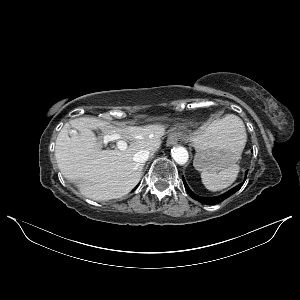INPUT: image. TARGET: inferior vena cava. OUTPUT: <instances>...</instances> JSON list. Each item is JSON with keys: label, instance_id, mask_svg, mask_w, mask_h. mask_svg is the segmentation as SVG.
I'll use <instances>...</instances> for the list:
<instances>
[{"label": "inferior vena cava", "instance_id": "602c4592", "mask_svg": "<svg viewBox=\"0 0 300 300\" xmlns=\"http://www.w3.org/2000/svg\"><path fill=\"white\" fill-rule=\"evenodd\" d=\"M149 154H150L149 150L146 149L139 150L137 153H135L133 160L136 163L142 164L148 160Z\"/></svg>", "mask_w": 300, "mask_h": 300}]
</instances>
